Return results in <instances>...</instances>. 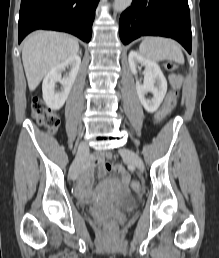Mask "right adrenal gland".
Here are the masks:
<instances>
[{"mask_svg":"<svg viewBox=\"0 0 219 258\" xmlns=\"http://www.w3.org/2000/svg\"><path fill=\"white\" fill-rule=\"evenodd\" d=\"M79 53H80V55H82V52H81V50H80V52H79Z\"/></svg>","mask_w":219,"mask_h":258,"instance_id":"1","label":"right adrenal gland"}]
</instances>
